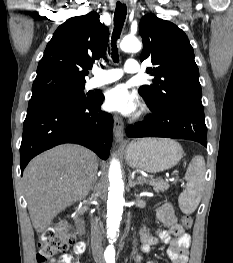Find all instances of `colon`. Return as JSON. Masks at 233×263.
Segmentation results:
<instances>
[{
  "label": "colon",
  "instance_id": "obj_1",
  "mask_svg": "<svg viewBox=\"0 0 233 263\" xmlns=\"http://www.w3.org/2000/svg\"><path fill=\"white\" fill-rule=\"evenodd\" d=\"M180 225L189 229L192 219L188 215L180 218ZM75 244V237L69 232L68 224L61 223L58 228L47 230L38 242V263H52L57 256L66 255L69 249Z\"/></svg>",
  "mask_w": 233,
  "mask_h": 263
}]
</instances>
